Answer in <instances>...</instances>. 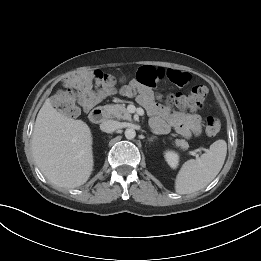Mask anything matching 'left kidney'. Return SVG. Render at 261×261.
<instances>
[{"instance_id": "1", "label": "left kidney", "mask_w": 261, "mask_h": 261, "mask_svg": "<svg viewBox=\"0 0 261 261\" xmlns=\"http://www.w3.org/2000/svg\"><path fill=\"white\" fill-rule=\"evenodd\" d=\"M165 160L168 163V165L175 169L177 168L178 164H179V156L176 152L174 151H166L165 152Z\"/></svg>"}]
</instances>
